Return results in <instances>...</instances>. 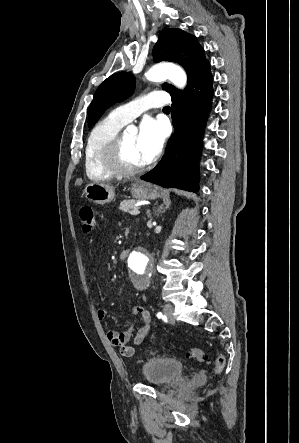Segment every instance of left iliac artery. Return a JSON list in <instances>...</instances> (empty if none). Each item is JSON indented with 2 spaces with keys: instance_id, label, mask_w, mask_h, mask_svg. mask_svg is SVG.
I'll use <instances>...</instances> for the list:
<instances>
[{
  "instance_id": "left-iliac-artery-1",
  "label": "left iliac artery",
  "mask_w": 299,
  "mask_h": 443,
  "mask_svg": "<svg viewBox=\"0 0 299 443\" xmlns=\"http://www.w3.org/2000/svg\"><path fill=\"white\" fill-rule=\"evenodd\" d=\"M157 317H158L159 319H161V318H164V315H163L161 312H158V313H157Z\"/></svg>"
}]
</instances>
